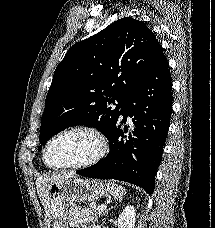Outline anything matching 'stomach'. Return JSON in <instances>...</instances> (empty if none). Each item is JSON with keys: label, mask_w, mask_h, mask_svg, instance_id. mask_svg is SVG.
Wrapping results in <instances>:
<instances>
[{"label": "stomach", "mask_w": 215, "mask_h": 228, "mask_svg": "<svg viewBox=\"0 0 215 228\" xmlns=\"http://www.w3.org/2000/svg\"><path fill=\"white\" fill-rule=\"evenodd\" d=\"M108 190L99 180H74L65 178L56 184H49V214L51 228H68L67 204L73 202H95L106 196Z\"/></svg>", "instance_id": "stomach-1"}]
</instances>
